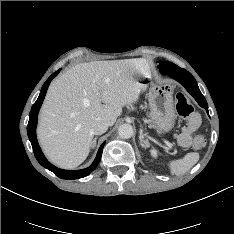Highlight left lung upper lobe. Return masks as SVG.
<instances>
[{
    "label": "left lung upper lobe",
    "instance_id": "5c2ea615",
    "mask_svg": "<svg viewBox=\"0 0 234 234\" xmlns=\"http://www.w3.org/2000/svg\"><path fill=\"white\" fill-rule=\"evenodd\" d=\"M160 71H165V70H175L178 69L179 67L171 62H167V61H160Z\"/></svg>",
    "mask_w": 234,
    "mask_h": 234
}]
</instances>
